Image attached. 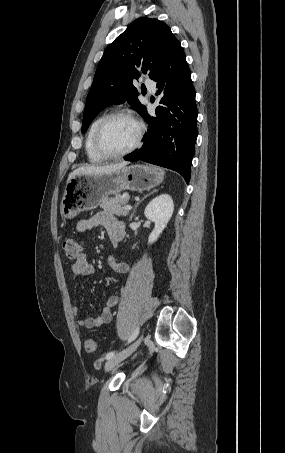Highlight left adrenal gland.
<instances>
[{
  "instance_id": "1",
  "label": "left adrenal gland",
  "mask_w": 285,
  "mask_h": 453,
  "mask_svg": "<svg viewBox=\"0 0 285 453\" xmlns=\"http://www.w3.org/2000/svg\"><path fill=\"white\" fill-rule=\"evenodd\" d=\"M156 191H157V190H153L151 193L145 195L140 201H138V202L135 204L134 209H133V212L131 213L129 220H132V218H133V216H134V214H135V212H136V209H137L138 205H139L145 198H147L148 196L152 195V194L155 193Z\"/></svg>"
}]
</instances>
